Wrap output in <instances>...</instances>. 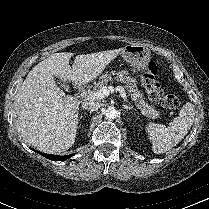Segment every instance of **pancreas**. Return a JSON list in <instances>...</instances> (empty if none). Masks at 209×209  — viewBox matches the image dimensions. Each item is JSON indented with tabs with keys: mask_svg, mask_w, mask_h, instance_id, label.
<instances>
[{
	"mask_svg": "<svg viewBox=\"0 0 209 209\" xmlns=\"http://www.w3.org/2000/svg\"><path fill=\"white\" fill-rule=\"evenodd\" d=\"M112 75L114 78L125 84L128 88L129 94H131V99L134 101L136 107L142 111L143 114L150 116L151 118H157L159 116V112L153 107L149 106L143 97V94L137 88L136 79L129 76V72L126 70L122 71H112L110 74L105 73L100 77L98 82L94 83L92 89L86 92L87 96L94 95L97 91H99L103 86L107 84V82L112 81ZM91 100V99H90Z\"/></svg>",
	"mask_w": 209,
	"mask_h": 209,
	"instance_id": "cf45deb5",
	"label": "pancreas"
}]
</instances>
